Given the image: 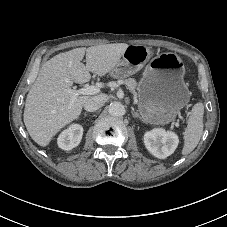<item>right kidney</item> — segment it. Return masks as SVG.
<instances>
[{"instance_id":"right-kidney-1","label":"right kidney","mask_w":227,"mask_h":227,"mask_svg":"<svg viewBox=\"0 0 227 227\" xmlns=\"http://www.w3.org/2000/svg\"><path fill=\"white\" fill-rule=\"evenodd\" d=\"M83 135V127L79 124H72L63 130L57 139L59 148L69 151L78 146Z\"/></svg>"}]
</instances>
